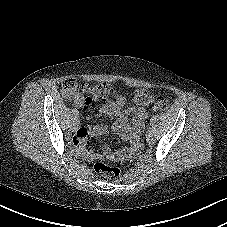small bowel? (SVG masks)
Masks as SVG:
<instances>
[{"label":"small bowel","mask_w":227,"mask_h":227,"mask_svg":"<svg viewBox=\"0 0 227 227\" xmlns=\"http://www.w3.org/2000/svg\"><path fill=\"white\" fill-rule=\"evenodd\" d=\"M73 102L75 106L81 107L86 111L91 108V101L81 93L74 96ZM99 112L116 118V121L112 126L113 130L129 143L128 147L116 152H112L106 147L104 148L103 155L110 159H120L135 155L139 150V138L144 129L145 119L148 116L144 104H140L134 99L133 105L128 107L126 105L125 97L116 95L112 100H104ZM129 116H132L131 124H129L128 121ZM107 131L108 127L105 124H96L86 128H79L76 131L73 142L76 146L80 147L88 137L103 135ZM83 155L88 159L98 157V155L88 151H83Z\"/></svg>","instance_id":"1"}]
</instances>
